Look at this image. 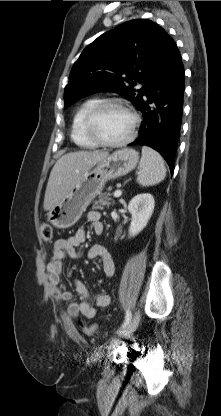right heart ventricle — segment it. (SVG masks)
I'll return each instance as SVG.
<instances>
[{"label": "right heart ventricle", "mask_w": 221, "mask_h": 416, "mask_svg": "<svg viewBox=\"0 0 221 416\" xmlns=\"http://www.w3.org/2000/svg\"><path fill=\"white\" fill-rule=\"evenodd\" d=\"M101 100L96 97L85 100L76 109L71 126V138L76 145L83 148H94L97 144L89 138L85 132V120L89 112L100 102Z\"/></svg>", "instance_id": "e07e8e85"}]
</instances>
